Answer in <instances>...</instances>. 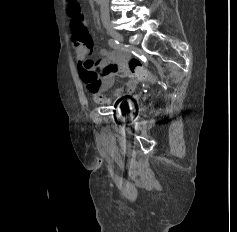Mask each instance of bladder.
Segmentation results:
<instances>
[{"mask_svg": "<svg viewBox=\"0 0 237 232\" xmlns=\"http://www.w3.org/2000/svg\"><path fill=\"white\" fill-rule=\"evenodd\" d=\"M120 107L126 110H130L133 107V102H130L128 100H123L119 103Z\"/></svg>", "mask_w": 237, "mask_h": 232, "instance_id": "31cf9c89", "label": "bladder"}]
</instances>
